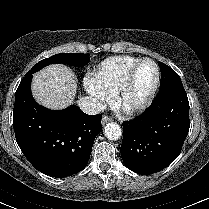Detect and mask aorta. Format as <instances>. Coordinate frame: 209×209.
Segmentation results:
<instances>
[{"instance_id":"762f6f07","label":"aorta","mask_w":209,"mask_h":209,"mask_svg":"<svg viewBox=\"0 0 209 209\" xmlns=\"http://www.w3.org/2000/svg\"><path fill=\"white\" fill-rule=\"evenodd\" d=\"M105 136L109 140H118L122 135V130L117 123H108L104 128Z\"/></svg>"}]
</instances>
